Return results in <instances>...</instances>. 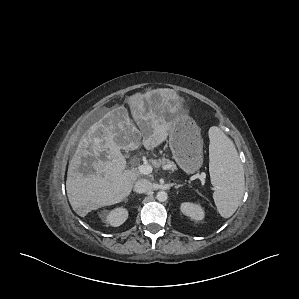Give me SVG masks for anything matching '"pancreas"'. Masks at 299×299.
<instances>
[{
  "mask_svg": "<svg viewBox=\"0 0 299 299\" xmlns=\"http://www.w3.org/2000/svg\"><path fill=\"white\" fill-rule=\"evenodd\" d=\"M149 162L156 168L160 167L161 165L166 166L168 169H174L175 168V164L172 161H170L166 158H162V159H158V160L150 159Z\"/></svg>",
  "mask_w": 299,
  "mask_h": 299,
  "instance_id": "cf45deb5",
  "label": "pancreas"
}]
</instances>
